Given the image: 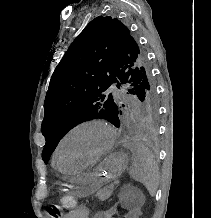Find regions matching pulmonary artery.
Wrapping results in <instances>:
<instances>
[{"mask_svg":"<svg viewBox=\"0 0 211 218\" xmlns=\"http://www.w3.org/2000/svg\"><path fill=\"white\" fill-rule=\"evenodd\" d=\"M108 95H121L120 86L118 84H107Z\"/></svg>","mask_w":211,"mask_h":218,"instance_id":"obj_1","label":"pulmonary artery"}]
</instances>
